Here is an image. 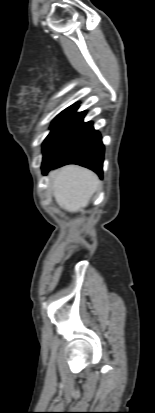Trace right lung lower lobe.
Here are the masks:
<instances>
[{"label": "right lung lower lobe", "mask_w": 155, "mask_h": 413, "mask_svg": "<svg viewBox=\"0 0 155 413\" xmlns=\"http://www.w3.org/2000/svg\"><path fill=\"white\" fill-rule=\"evenodd\" d=\"M86 112L76 113L64 137L42 163L43 173L66 164L87 167L102 177L104 146L92 122H83Z\"/></svg>", "instance_id": "1"}]
</instances>
